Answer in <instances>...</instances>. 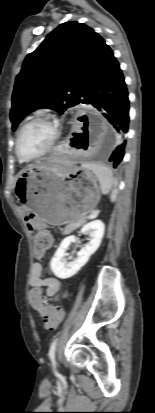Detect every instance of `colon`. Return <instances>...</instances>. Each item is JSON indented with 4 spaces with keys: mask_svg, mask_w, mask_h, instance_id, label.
<instances>
[{
    "mask_svg": "<svg viewBox=\"0 0 155 413\" xmlns=\"http://www.w3.org/2000/svg\"><path fill=\"white\" fill-rule=\"evenodd\" d=\"M32 232L35 235V257L38 261H44L48 240L41 231ZM40 272L42 274H47L49 272V267L47 265H42L40 267ZM29 300L32 307L36 308L42 316L45 330H54L63 320L64 312L60 306L47 304L45 298L37 293H31Z\"/></svg>",
    "mask_w": 155,
    "mask_h": 413,
    "instance_id": "5ec220e1",
    "label": "colon"
}]
</instances>
